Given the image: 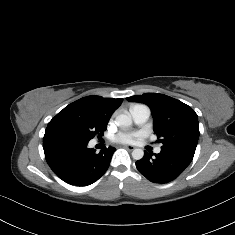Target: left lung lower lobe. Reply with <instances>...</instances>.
Segmentation results:
<instances>
[{
  "label": "left lung lower lobe",
  "instance_id": "obj_1",
  "mask_svg": "<svg viewBox=\"0 0 235 235\" xmlns=\"http://www.w3.org/2000/svg\"><path fill=\"white\" fill-rule=\"evenodd\" d=\"M193 156L174 149L161 148L158 154L145 152L136 162L138 171L154 183H166L177 178L191 163Z\"/></svg>",
  "mask_w": 235,
  "mask_h": 235
}]
</instances>
